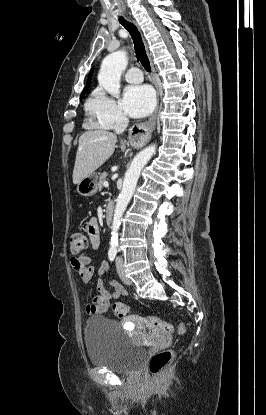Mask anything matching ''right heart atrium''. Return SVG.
Masks as SVG:
<instances>
[{
    "label": "right heart atrium",
    "instance_id": "right-heart-atrium-1",
    "mask_svg": "<svg viewBox=\"0 0 266 415\" xmlns=\"http://www.w3.org/2000/svg\"><path fill=\"white\" fill-rule=\"evenodd\" d=\"M91 121L100 128L110 129L127 122V117L116 100L102 89H96L86 104Z\"/></svg>",
    "mask_w": 266,
    "mask_h": 415
}]
</instances>
